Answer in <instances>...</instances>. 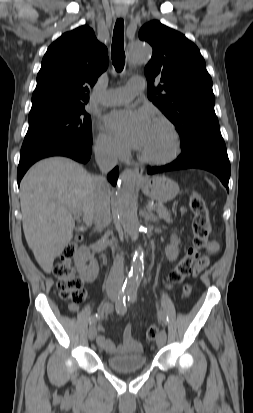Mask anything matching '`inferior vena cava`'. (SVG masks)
Instances as JSON below:
<instances>
[{"label":"inferior vena cava","mask_w":253,"mask_h":413,"mask_svg":"<svg viewBox=\"0 0 253 413\" xmlns=\"http://www.w3.org/2000/svg\"><path fill=\"white\" fill-rule=\"evenodd\" d=\"M95 160L102 174L95 177L94 221L97 228H104L109 225L111 220L109 184L106 175L116 166L117 153L110 146H105L95 152ZM123 279V260L117 257L106 283L107 292L119 291L122 287Z\"/></svg>","instance_id":"1"}]
</instances>
